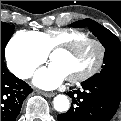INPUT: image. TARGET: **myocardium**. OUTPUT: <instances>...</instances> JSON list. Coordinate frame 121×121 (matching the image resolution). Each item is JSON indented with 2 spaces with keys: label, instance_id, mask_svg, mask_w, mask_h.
Segmentation results:
<instances>
[{
  "label": "myocardium",
  "instance_id": "obj_1",
  "mask_svg": "<svg viewBox=\"0 0 121 121\" xmlns=\"http://www.w3.org/2000/svg\"><path fill=\"white\" fill-rule=\"evenodd\" d=\"M87 45H95L98 49V56L95 63L89 67L86 71L82 72L81 74L67 78V81L71 84L81 83L84 82L93 76H95L99 71L102 69L105 58H106V46L105 44L98 38H85L79 41H76L70 45H58L50 50L49 52V60L51 59L52 55L57 52H64L67 54L72 55L77 50L87 46Z\"/></svg>",
  "mask_w": 121,
  "mask_h": 121
}]
</instances>
